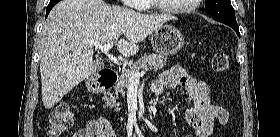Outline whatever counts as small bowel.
<instances>
[{
	"mask_svg": "<svg viewBox=\"0 0 280 137\" xmlns=\"http://www.w3.org/2000/svg\"><path fill=\"white\" fill-rule=\"evenodd\" d=\"M166 88L183 89L192 101V105L186 109L185 118L196 131L197 137H210L214 130V123L217 121L221 125H226L230 121L229 112L215 104L209 97V86L202 79L191 77L181 66H173L164 71L159 79L153 84V92L161 95ZM98 122L110 129V134L114 133L105 118ZM74 137H100L94 136L90 132V127L80 129Z\"/></svg>",
	"mask_w": 280,
	"mask_h": 137,
	"instance_id": "small-bowel-1",
	"label": "small bowel"
}]
</instances>
